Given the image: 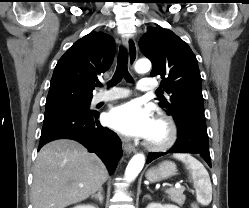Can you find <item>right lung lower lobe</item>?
I'll list each match as a JSON object with an SVG mask.
<instances>
[{"label": "right lung lower lobe", "mask_w": 249, "mask_h": 208, "mask_svg": "<svg viewBox=\"0 0 249 208\" xmlns=\"http://www.w3.org/2000/svg\"><path fill=\"white\" fill-rule=\"evenodd\" d=\"M99 113L77 108H46L39 148L56 139H73L96 153L112 174L122 154L119 137L101 126Z\"/></svg>", "instance_id": "obj_1"}]
</instances>
